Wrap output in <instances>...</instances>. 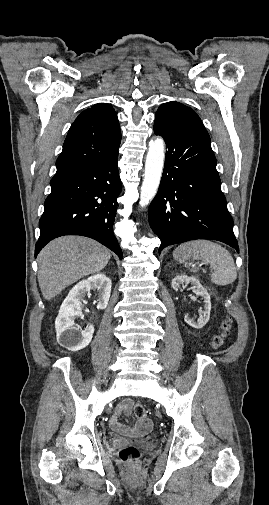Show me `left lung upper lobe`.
I'll return each mask as SVG.
<instances>
[{
    "mask_svg": "<svg viewBox=\"0 0 269 505\" xmlns=\"http://www.w3.org/2000/svg\"><path fill=\"white\" fill-rule=\"evenodd\" d=\"M156 118L163 120H189L202 124L199 116L191 108L175 101L162 104L157 110Z\"/></svg>",
    "mask_w": 269,
    "mask_h": 505,
    "instance_id": "left-lung-upper-lobe-1",
    "label": "left lung upper lobe"
}]
</instances>
